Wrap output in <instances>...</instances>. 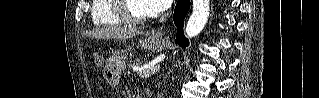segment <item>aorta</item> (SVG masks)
Wrapping results in <instances>:
<instances>
[{
  "mask_svg": "<svg viewBox=\"0 0 319 98\" xmlns=\"http://www.w3.org/2000/svg\"><path fill=\"white\" fill-rule=\"evenodd\" d=\"M209 10V0H193V12L185 28L188 38H193L202 31L208 20Z\"/></svg>",
  "mask_w": 319,
  "mask_h": 98,
  "instance_id": "1",
  "label": "aorta"
}]
</instances>
